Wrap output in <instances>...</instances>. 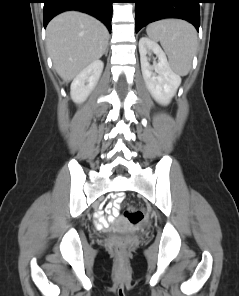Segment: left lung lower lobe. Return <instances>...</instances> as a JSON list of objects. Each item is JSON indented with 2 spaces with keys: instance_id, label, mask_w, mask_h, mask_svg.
Returning a JSON list of instances; mask_svg holds the SVG:
<instances>
[{
  "instance_id": "obj_1",
  "label": "left lung lower lobe",
  "mask_w": 239,
  "mask_h": 296,
  "mask_svg": "<svg viewBox=\"0 0 239 296\" xmlns=\"http://www.w3.org/2000/svg\"><path fill=\"white\" fill-rule=\"evenodd\" d=\"M135 5L136 32L148 23L163 18H180L192 23L199 32L200 0H132Z\"/></svg>"
}]
</instances>
